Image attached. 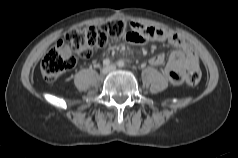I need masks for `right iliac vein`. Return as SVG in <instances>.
Masks as SVG:
<instances>
[{
  "mask_svg": "<svg viewBox=\"0 0 238 158\" xmlns=\"http://www.w3.org/2000/svg\"><path fill=\"white\" fill-rule=\"evenodd\" d=\"M108 72H109L108 67H104V68L101 70V74H102L103 76L106 75Z\"/></svg>",
  "mask_w": 238,
  "mask_h": 158,
  "instance_id": "1",
  "label": "right iliac vein"
}]
</instances>
